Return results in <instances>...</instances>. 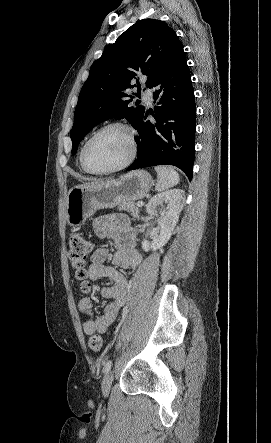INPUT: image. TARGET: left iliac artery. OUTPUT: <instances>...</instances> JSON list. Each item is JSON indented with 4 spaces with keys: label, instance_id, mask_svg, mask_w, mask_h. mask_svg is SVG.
<instances>
[{
    "label": "left iliac artery",
    "instance_id": "1",
    "mask_svg": "<svg viewBox=\"0 0 271 443\" xmlns=\"http://www.w3.org/2000/svg\"><path fill=\"white\" fill-rule=\"evenodd\" d=\"M111 366H112V360L107 361L103 368V372L108 373L111 369Z\"/></svg>",
    "mask_w": 271,
    "mask_h": 443
}]
</instances>
